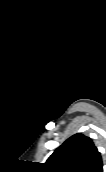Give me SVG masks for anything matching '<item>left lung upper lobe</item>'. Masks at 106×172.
<instances>
[{"label":"left lung upper lobe","instance_id":"1","mask_svg":"<svg viewBox=\"0 0 106 172\" xmlns=\"http://www.w3.org/2000/svg\"><path fill=\"white\" fill-rule=\"evenodd\" d=\"M50 172H103L101 155L91 138L78 133L58 147L45 163Z\"/></svg>","mask_w":106,"mask_h":172}]
</instances>
